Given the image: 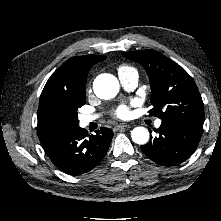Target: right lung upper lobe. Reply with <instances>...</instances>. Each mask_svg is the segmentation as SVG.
<instances>
[{
	"mask_svg": "<svg viewBox=\"0 0 221 221\" xmlns=\"http://www.w3.org/2000/svg\"><path fill=\"white\" fill-rule=\"evenodd\" d=\"M104 59H106L105 56L99 55L72 57L49 78L41 93L37 113V132L42 145L66 133L47 121L45 111L48 103L54 99L85 96L86 79L90 68Z\"/></svg>",
	"mask_w": 221,
	"mask_h": 221,
	"instance_id": "obj_1",
	"label": "right lung upper lobe"
}]
</instances>
